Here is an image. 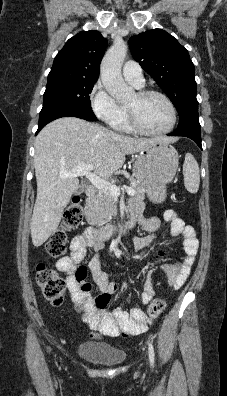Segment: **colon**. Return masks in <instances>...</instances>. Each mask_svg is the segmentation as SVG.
Masks as SVG:
<instances>
[{"label":"colon","mask_w":227,"mask_h":396,"mask_svg":"<svg viewBox=\"0 0 227 396\" xmlns=\"http://www.w3.org/2000/svg\"><path fill=\"white\" fill-rule=\"evenodd\" d=\"M83 219V206L80 197H75L65 212L61 227L55 231L45 244L46 252L53 258H59L66 253L67 234L76 229ZM36 280L43 296L53 305H60L65 296L66 282L52 268L39 264L36 271ZM79 312L83 311L81 305H76ZM165 308V301L157 298L148 308L150 316L159 315Z\"/></svg>","instance_id":"1"}]
</instances>
